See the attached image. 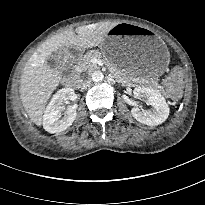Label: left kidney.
<instances>
[{"label":"left kidney","instance_id":"left-kidney-1","mask_svg":"<svg viewBox=\"0 0 205 205\" xmlns=\"http://www.w3.org/2000/svg\"><path fill=\"white\" fill-rule=\"evenodd\" d=\"M134 97L146 99L147 103L153 107L152 110H143L134 107L131 110L132 116L140 123L155 126L163 123L169 116L170 109L165 98L158 90L149 87H136Z\"/></svg>","mask_w":205,"mask_h":205}]
</instances>
